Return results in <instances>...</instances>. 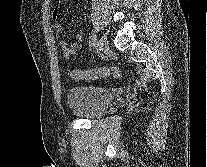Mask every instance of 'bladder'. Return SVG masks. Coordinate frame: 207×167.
Segmentation results:
<instances>
[{"instance_id": "bladder-1", "label": "bladder", "mask_w": 207, "mask_h": 167, "mask_svg": "<svg viewBox=\"0 0 207 167\" xmlns=\"http://www.w3.org/2000/svg\"><path fill=\"white\" fill-rule=\"evenodd\" d=\"M113 99V93L103 87L74 86L67 94L71 113L77 118L94 119L100 116Z\"/></svg>"}]
</instances>
